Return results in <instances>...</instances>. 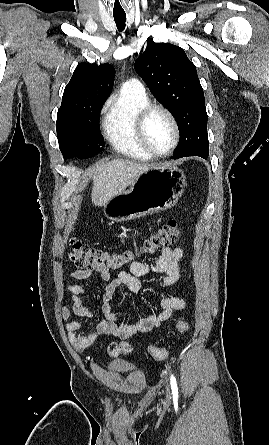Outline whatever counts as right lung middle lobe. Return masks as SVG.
<instances>
[{
	"instance_id": "obj_1",
	"label": "right lung middle lobe",
	"mask_w": 269,
	"mask_h": 445,
	"mask_svg": "<svg viewBox=\"0 0 269 445\" xmlns=\"http://www.w3.org/2000/svg\"><path fill=\"white\" fill-rule=\"evenodd\" d=\"M104 102L61 106L57 114V136L64 159L93 157L105 145L98 117Z\"/></svg>"
}]
</instances>
